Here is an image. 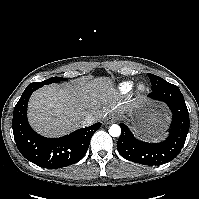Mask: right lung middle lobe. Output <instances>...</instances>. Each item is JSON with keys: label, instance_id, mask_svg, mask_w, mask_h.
Returning a JSON list of instances; mask_svg holds the SVG:
<instances>
[{"label": "right lung middle lobe", "instance_id": "right-lung-middle-lobe-1", "mask_svg": "<svg viewBox=\"0 0 199 199\" xmlns=\"http://www.w3.org/2000/svg\"><path fill=\"white\" fill-rule=\"evenodd\" d=\"M64 80H66V79L60 78V77H52V78H49V79L42 81V82L31 83V84H29L28 87L38 89V88L42 87L43 85H47V84H51V83H57V82L64 81Z\"/></svg>", "mask_w": 199, "mask_h": 199}]
</instances>
